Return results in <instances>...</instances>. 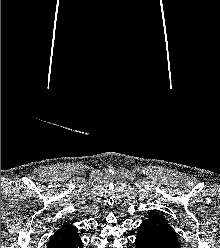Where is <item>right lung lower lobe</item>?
I'll list each match as a JSON object with an SVG mask.
<instances>
[{"label": "right lung lower lobe", "instance_id": "98d812e1", "mask_svg": "<svg viewBox=\"0 0 220 248\" xmlns=\"http://www.w3.org/2000/svg\"><path fill=\"white\" fill-rule=\"evenodd\" d=\"M56 248H83V243L81 242L80 238L77 236L72 238L71 240H68L65 243L56 246Z\"/></svg>", "mask_w": 220, "mask_h": 248}]
</instances>
